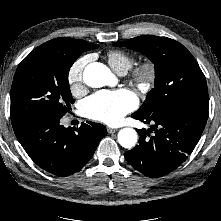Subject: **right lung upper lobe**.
<instances>
[{
	"mask_svg": "<svg viewBox=\"0 0 221 221\" xmlns=\"http://www.w3.org/2000/svg\"><path fill=\"white\" fill-rule=\"evenodd\" d=\"M48 42H65V43H69L77 48H81V49H88L93 47L95 44H91L88 43L84 40H80V39H73V38H56V39H52Z\"/></svg>",
	"mask_w": 221,
	"mask_h": 221,
	"instance_id": "cb5924a9",
	"label": "right lung upper lobe"
}]
</instances>
